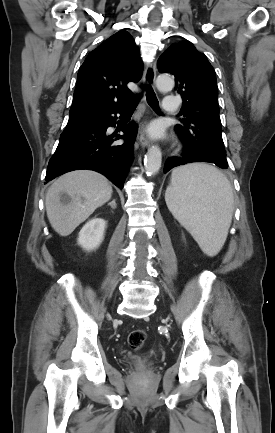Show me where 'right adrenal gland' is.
Wrapping results in <instances>:
<instances>
[{
	"label": "right adrenal gland",
	"instance_id": "2a0ac1e0",
	"mask_svg": "<svg viewBox=\"0 0 275 433\" xmlns=\"http://www.w3.org/2000/svg\"><path fill=\"white\" fill-rule=\"evenodd\" d=\"M109 206H111L113 209L116 208V200L113 199L110 203H108Z\"/></svg>",
	"mask_w": 275,
	"mask_h": 433
}]
</instances>
